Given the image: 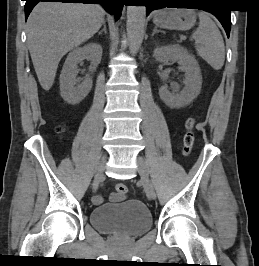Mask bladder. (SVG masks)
I'll return each instance as SVG.
<instances>
[{
    "instance_id": "bladder-1",
    "label": "bladder",
    "mask_w": 259,
    "mask_h": 266,
    "mask_svg": "<svg viewBox=\"0 0 259 266\" xmlns=\"http://www.w3.org/2000/svg\"><path fill=\"white\" fill-rule=\"evenodd\" d=\"M90 223L104 234L137 237L150 230L152 215L143 202L128 199L118 205L95 207L90 213Z\"/></svg>"
}]
</instances>
